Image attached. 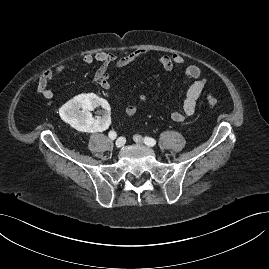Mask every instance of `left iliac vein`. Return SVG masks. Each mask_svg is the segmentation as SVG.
<instances>
[{
	"mask_svg": "<svg viewBox=\"0 0 269 269\" xmlns=\"http://www.w3.org/2000/svg\"><path fill=\"white\" fill-rule=\"evenodd\" d=\"M134 141L138 144H143V138L140 135H134Z\"/></svg>",
	"mask_w": 269,
	"mask_h": 269,
	"instance_id": "1",
	"label": "left iliac vein"
}]
</instances>
